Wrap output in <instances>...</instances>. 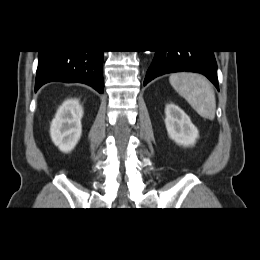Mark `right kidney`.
I'll return each instance as SVG.
<instances>
[{"mask_svg":"<svg viewBox=\"0 0 260 260\" xmlns=\"http://www.w3.org/2000/svg\"><path fill=\"white\" fill-rule=\"evenodd\" d=\"M83 109L77 99L66 100L57 110L50 126L53 143L65 153L74 149L82 134Z\"/></svg>","mask_w":260,"mask_h":260,"instance_id":"ca27d5eb","label":"right kidney"}]
</instances>
